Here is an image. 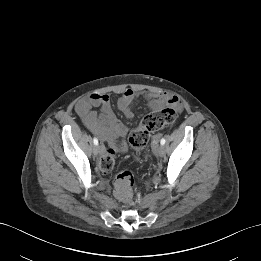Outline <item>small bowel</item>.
Here are the masks:
<instances>
[{"mask_svg":"<svg viewBox=\"0 0 261 261\" xmlns=\"http://www.w3.org/2000/svg\"><path fill=\"white\" fill-rule=\"evenodd\" d=\"M143 96L151 110H157L168 105L177 111L182 109V102L176 95L167 92L137 93L128 88L124 90L117 101L118 109L128 118L132 117L135 100ZM100 108L97 113L94 108ZM76 111L85 126L104 142H113L117 138H124L128 128L116 117L112 109L110 97L107 94L93 93L80 99L76 104Z\"/></svg>","mask_w":261,"mask_h":261,"instance_id":"obj_1","label":"small bowel"}]
</instances>
